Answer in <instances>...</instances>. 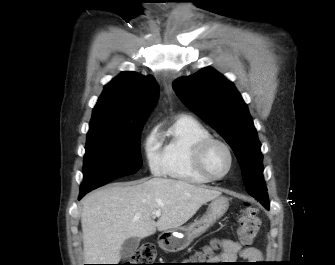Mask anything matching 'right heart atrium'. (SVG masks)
Returning <instances> with one entry per match:
<instances>
[{"mask_svg":"<svg viewBox=\"0 0 335 265\" xmlns=\"http://www.w3.org/2000/svg\"><path fill=\"white\" fill-rule=\"evenodd\" d=\"M144 151L148 166L153 174L164 172L161 141L156 129H153L145 139Z\"/></svg>","mask_w":335,"mask_h":265,"instance_id":"right-heart-atrium-1","label":"right heart atrium"}]
</instances>
